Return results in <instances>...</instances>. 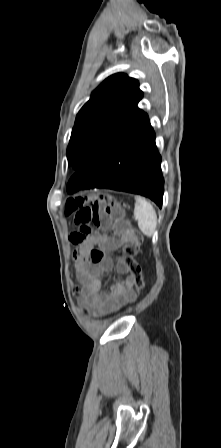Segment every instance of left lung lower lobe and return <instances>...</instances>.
I'll list each match as a JSON object with an SVG mask.
<instances>
[{
  "instance_id": "obj_1",
  "label": "left lung lower lobe",
  "mask_w": 221,
  "mask_h": 448,
  "mask_svg": "<svg viewBox=\"0 0 221 448\" xmlns=\"http://www.w3.org/2000/svg\"><path fill=\"white\" fill-rule=\"evenodd\" d=\"M164 179L155 133L148 121L119 144L99 165L78 170L69 180L67 192L108 188L140 194L162 206Z\"/></svg>"
}]
</instances>
